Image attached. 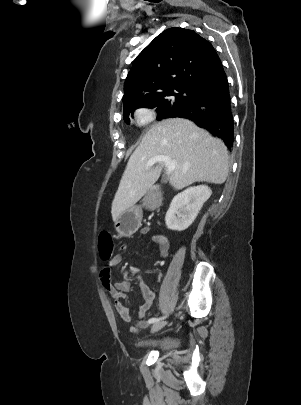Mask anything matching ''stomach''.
<instances>
[{
  "label": "stomach",
  "mask_w": 301,
  "mask_h": 405,
  "mask_svg": "<svg viewBox=\"0 0 301 405\" xmlns=\"http://www.w3.org/2000/svg\"><path fill=\"white\" fill-rule=\"evenodd\" d=\"M140 209L132 208L124 211L115 222L116 231L121 236L133 234L141 225Z\"/></svg>",
  "instance_id": "obj_1"
}]
</instances>
